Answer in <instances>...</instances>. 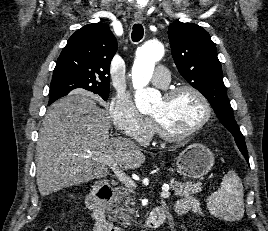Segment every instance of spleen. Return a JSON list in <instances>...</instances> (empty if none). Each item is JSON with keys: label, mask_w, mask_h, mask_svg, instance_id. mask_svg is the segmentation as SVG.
<instances>
[{"label": "spleen", "mask_w": 268, "mask_h": 231, "mask_svg": "<svg viewBox=\"0 0 268 231\" xmlns=\"http://www.w3.org/2000/svg\"><path fill=\"white\" fill-rule=\"evenodd\" d=\"M243 184L234 171H229L222 179L221 187L207 199L211 214L226 220L239 221L244 216Z\"/></svg>", "instance_id": "spleen-1"}]
</instances>
